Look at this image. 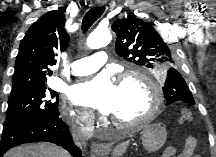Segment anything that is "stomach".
<instances>
[{
	"label": "stomach",
	"mask_w": 216,
	"mask_h": 157,
	"mask_svg": "<svg viewBox=\"0 0 216 157\" xmlns=\"http://www.w3.org/2000/svg\"><path fill=\"white\" fill-rule=\"evenodd\" d=\"M166 137L167 131L165 127L158 123L145 126L141 130L142 145L149 153L158 151L163 146Z\"/></svg>",
	"instance_id": "stomach-1"
}]
</instances>
